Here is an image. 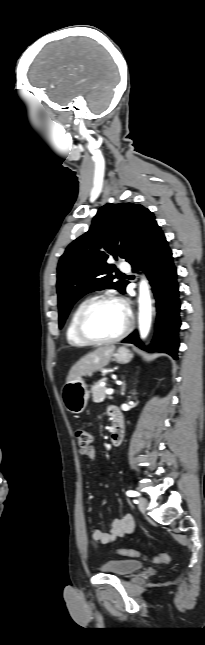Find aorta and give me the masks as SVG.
Returning a JSON list of instances; mask_svg holds the SVG:
<instances>
[{"mask_svg": "<svg viewBox=\"0 0 205 645\" xmlns=\"http://www.w3.org/2000/svg\"><path fill=\"white\" fill-rule=\"evenodd\" d=\"M139 330L141 338H146L151 326L152 310L148 283L142 279L139 287Z\"/></svg>", "mask_w": 205, "mask_h": 645, "instance_id": "aorta-1", "label": "aorta"}]
</instances>
